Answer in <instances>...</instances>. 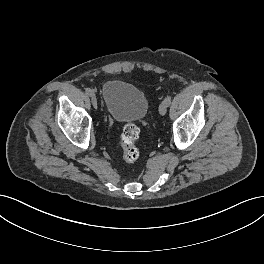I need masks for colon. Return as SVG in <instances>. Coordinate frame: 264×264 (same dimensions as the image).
<instances>
[{"instance_id":"obj_1","label":"colon","mask_w":264,"mask_h":264,"mask_svg":"<svg viewBox=\"0 0 264 264\" xmlns=\"http://www.w3.org/2000/svg\"><path fill=\"white\" fill-rule=\"evenodd\" d=\"M139 139V128L135 123H127L119 137V145L126 163L132 164L140 158V151L136 145Z\"/></svg>"}]
</instances>
